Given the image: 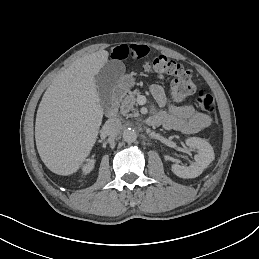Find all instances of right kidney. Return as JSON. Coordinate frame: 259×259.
Returning <instances> with one entry per match:
<instances>
[{"mask_svg":"<svg viewBox=\"0 0 259 259\" xmlns=\"http://www.w3.org/2000/svg\"><path fill=\"white\" fill-rule=\"evenodd\" d=\"M94 164H95V160L93 158L92 159H88L87 163L82 166L83 174L84 175L89 174L93 170Z\"/></svg>","mask_w":259,"mask_h":259,"instance_id":"1","label":"right kidney"}]
</instances>
